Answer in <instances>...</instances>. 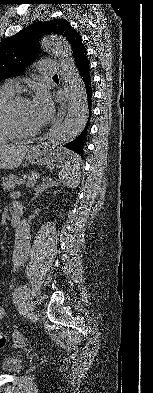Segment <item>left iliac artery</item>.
<instances>
[{"label": "left iliac artery", "instance_id": "left-iliac-artery-1", "mask_svg": "<svg viewBox=\"0 0 153 393\" xmlns=\"http://www.w3.org/2000/svg\"><path fill=\"white\" fill-rule=\"evenodd\" d=\"M27 287L26 286H19L15 289L13 293V301L17 309L19 310L20 313L23 314V307L24 303L27 300Z\"/></svg>", "mask_w": 153, "mask_h": 393}]
</instances>
